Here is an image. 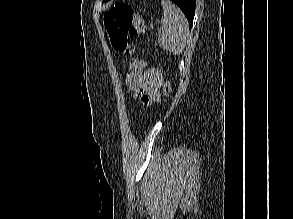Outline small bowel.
<instances>
[{
    "label": "small bowel",
    "mask_w": 293,
    "mask_h": 219,
    "mask_svg": "<svg viewBox=\"0 0 293 219\" xmlns=\"http://www.w3.org/2000/svg\"><path fill=\"white\" fill-rule=\"evenodd\" d=\"M162 82V72L157 68H150L141 74L130 73L126 78L127 85L135 91V98L145 105L160 100Z\"/></svg>",
    "instance_id": "obj_1"
}]
</instances>
